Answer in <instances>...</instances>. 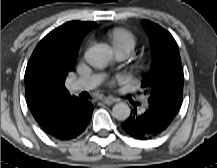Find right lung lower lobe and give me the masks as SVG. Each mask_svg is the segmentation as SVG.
<instances>
[{
  "label": "right lung lower lobe",
  "mask_w": 217,
  "mask_h": 168,
  "mask_svg": "<svg viewBox=\"0 0 217 168\" xmlns=\"http://www.w3.org/2000/svg\"><path fill=\"white\" fill-rule=\"evenodd\" d=\"M92 112L93 106L90 102L77 99L60 105L47 117L37 122L50 136L60 140H70L84 132Z\"/></svg>",
  "instance_id": "98d812e1"
}]
</instances>
